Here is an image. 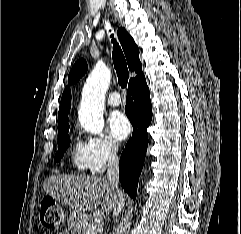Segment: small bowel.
Here are the masks:
<instances>
[{
  "label": "small bowel",
  "mask_w": 241,
  "mask_h": 234,
  "mask_svg": "<svg viewBox=\"0 0 241 234\" xmlns=\"http://www.w3.org/2000/svg\"><path fill=\"white\" fill-rule=\"evenodd\" d=\"M60 234H66V232H61Z\"/></svg>",
  "instance_id": "c3829d8e"
}]
</instances>
